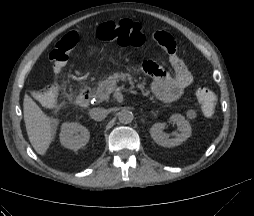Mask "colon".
Here are the masks:
<instances>
[{
    "label": "colon",
    "mask_w": 254,
    "mask_h": 216,
    "mask_svg": "<svg viewBox=\"0 0 254 216\" xmlns=\"http://www.w3.org/2000/svg\"><path fill=\"white\" fill-rule=\"evenodd\" d=\"M94 34L101 40L117 43L121 46H142L147 42L149 44L142 26L129 20L118 23L104 22L96 28ZM77 43L78 34L70 32L54 44L49 53V60L55 73H59L65 67ZM35 97L45 107H53L59 98L58 87L56 84H50L44 90L37 91ZM196 98L203 114L209 118L213 117L217 106L214 92L207 86L200 85L196 89Z\"/></svg>",
    "instance_id": "5ec220e1"
}]
</instances>
